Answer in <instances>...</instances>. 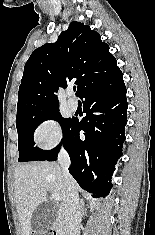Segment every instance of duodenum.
<instances>
[{
  "label": "duodenum",
  "instance_id": "410a0bca",
  "mask_svg": "<svg viewBox=\"0 0 155 235\" xmlns=\"http://www.w3.org/2000/svg\"><path fill=\"white\" fill-rule=\"evenodd\" d=\"M61 226L59 224H57L55 227H54V230L52 232V235H61Z\"/></svg>",
  "mask_w": 155,
  "mask_h": 235
}]
</instances>
